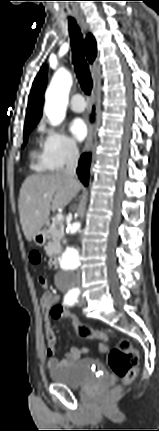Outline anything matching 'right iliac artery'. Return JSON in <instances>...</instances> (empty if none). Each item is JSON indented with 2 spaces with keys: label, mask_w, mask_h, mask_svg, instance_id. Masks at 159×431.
Returning <instances> with one entry per match:
<instances>
[{
  "label": "right iliac artery",
  "mask_w": 159,
  "mask_h": 431,
  "mask_svg": "<svg viewBox=\"0 0 159 431\" xmlns=\"http://www.w3.org/2000/svg\"><path fill=\"white\" fill-rule=\"evenodd\" d=\"M78 294H79L78 289L70 290L64 297V304L73 305L77 301Z\"/></svg>",
  "instance_id": "82829eb1"
}]
</instances>
